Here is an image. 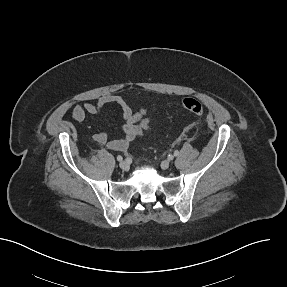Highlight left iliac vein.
<instances>
[{"label":"left iliac vein","instance_id":"left-iliac-vein-1","mask_svg":"<svg viewBox=\"0 0 287 287\" xmlns=\"http://www.w3.org/2000/svg\"><path fill=\"white\" fill-rule=\"evenodd\" d=\"M160 166H161V168H162L163 170H166V169H168L169 166H170V161H169V160H164V161L161 162Z\"/></svg>","mask_w":287,"mask_h":287}]
</instances>
